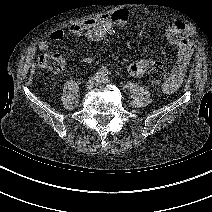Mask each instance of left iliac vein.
<instances>
[{
	"label": "left iliac vein",
	"mask_w": 212,
	"mask_h": 212,
	"mask_svg": "<svg viewBox=\"0 0 212 212\" xmlns=\"http://www.w3.org/2000/svg\"><path fill=\"white\" fill-rule=\"evenodd\" d=\"M97 86H98V87H101V86H102L101 81L98 82Z\"/></svg>",
	"instance_id": "left-iliac-vein-1"
}]
</instances>
